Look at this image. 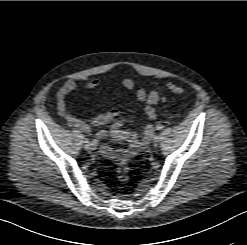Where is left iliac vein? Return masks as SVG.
I'll use <instances>...</instances> for the list:
<instances>
[{
  "label": "left iliac vein",
  "mask_w": 247,
  "mask_h": 245,
  "mask_svg": "<svg viewBox=\"0 0 247 245\" xmlns=\"http://www.w3.org/2000/svg\"><path fill=\"white\" fill-rule=\"evenodd\" d=\"M159 142H160V137L159 136H155L154 140H153L154 146H157L159 144Z\"/></svg>",
  "instance_id": "obj_1"
}]
</instances>
